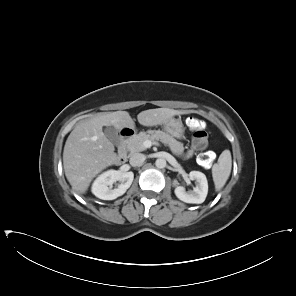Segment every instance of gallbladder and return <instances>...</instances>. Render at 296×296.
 Here are the masks:
<instances>
[{
  "label": "gallbladder",
  "mask_w": 296,
  "mask_h": 296,
  "mask_svg": "<svg viewBox=\"0 0 296 296\" xmlns=\"http://www.w3.org/2000/svg\"><path fill=\"white\" fill-rule=\"evenodd\" d=\"M105 132L107 137L116 145L120 146L123 144L122 138L118 135V133L112 128H106Z\"/></svg>",
  "instance_id": "bac80fb5"
}]
</instances>
